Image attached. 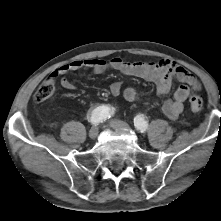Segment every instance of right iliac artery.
I'll return each mask as SVG.
<instances>
[{
	"mask_svg": "<svg viewBox=\"0 0 221 221\" xmlns=\"http://www.w3.org/2000/svg\"><path fill=\"white\" fill-rule=\"evenodd\" d=\"M114 114V108H110L107 105H102L95 108L89 118V122L94 125H98L103 121L109 119Z\"/></svg>",
	"mask_w": 221,
	"mask_h": 221,
	"instance_id": "1",
	"label": "right iliac artery"
}]
</instances>
